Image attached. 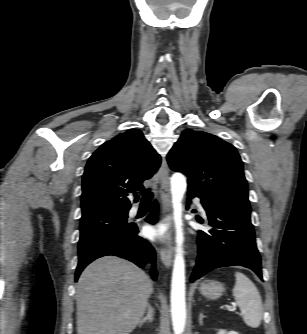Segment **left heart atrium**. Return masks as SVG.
<instances>
[{
  "label": "left heart atrium",
  "instance_id": "obj_1",
  "mask_svg": "<svg viewBox=\"0 0 307 334\" xmlns=\"http://www.w3.org/2000/svg\"><path fill=\"white\" fill-rule=\"evenodd\" d=\"M144 232L150 240H165L169 235V225L163 222L150 224L145 227Z\"/></svg>",
  "mask_w": 307,
  "mask_h": 334
}]
</instances>
